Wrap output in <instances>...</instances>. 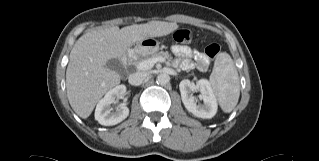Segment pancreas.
Masks as SVG:
<instances>
[{
	"label": "pancreas",
	"mask_w": 319,
	"mask_h": 161,
	"mask_svg": "<svg viewBox=\"0 0 319 161\" xmlns=\"http://www.w3.org/2000/svg\"><path fill=\"white\" fill-rule=\"evenodd\" d=\"M155 57H162V58H165V59H168V60H172V56L169 52H155L154 54H152L151 56L147 57V59H150V58H155ZM141 60H135L133 62H131L133 65H137L140 63Z\"/></svg>",
	"instance_id": "cf45deb5"
}]
</instances>
